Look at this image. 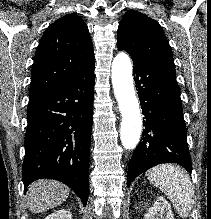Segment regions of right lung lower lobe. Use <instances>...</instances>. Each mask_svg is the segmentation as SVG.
I'll return each mask as SVG.
<instances>
[{
  "label": "right lung lower lobe",
  "mask_w": 211,
  "mask_h": 219,
  "mask_svg": "<svg viewBox=\"0 0 211 219\" xmlns=\"http://www.w3.org/2000/svg\"><path fill=\"white\" fill-rule=\"evenodd\" d=\"M94 66L53 90L29 99L22 178L68 185L85 205L89 193Z\"/></svg>",
  "instance_id": "98d812e1"
}]
</instances>
